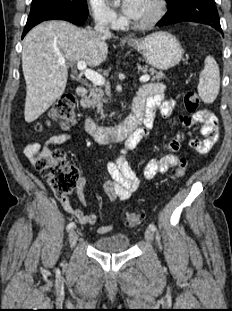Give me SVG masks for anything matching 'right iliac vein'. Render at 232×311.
<instances>
[{"instance_id":"63e3f726","label":"right iliac vein","mask_w":232,"mask_h":311,"mask_svg":"<svg viewBox=\"0 0 232 311\" xmlns=\"http://www.w3.org/2000/svg\"><path fill=\"white\" fill-rule=\"evenodd\" d=\"M78 240V234L77 232L73 229L69 233V242L71 246H74Z\"/></svg>"}]
</instances>
